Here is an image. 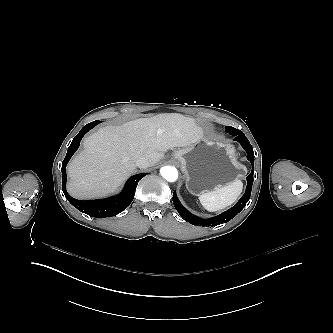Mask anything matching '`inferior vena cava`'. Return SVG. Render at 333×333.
<instances>
[{
	"label": "inferior vena cava",
	"instance_id": "inferior-vena-cava-1",
	"mask_svg": "<svg viewBox=\"0 0 333 333\" xmlns=\"http://www.w3.org/2000/svg\"><path fill=\"white\" fill-rule=\"evenodd\" d=\"M136 165L141 168H146L150 166V161L146 156H141L138 159H136Z\"/></svg>",
	"mask_w": 333,
	"mask_h": 333
}]
</instances>
